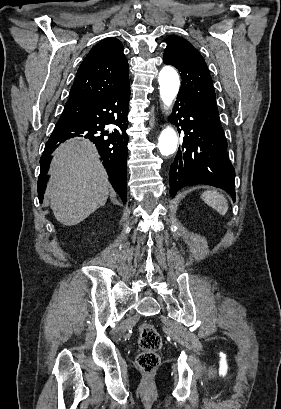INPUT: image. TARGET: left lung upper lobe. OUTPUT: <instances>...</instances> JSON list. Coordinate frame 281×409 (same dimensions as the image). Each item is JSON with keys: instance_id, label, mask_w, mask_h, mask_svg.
Returning a JSON list of instances; mask_svg holds the SVG:
<instances>
[{"instance_id": "left-lung-upper-lobe-1", "label": "left lung upper lobe", "mask_w": 281, "mask_h": 409, "mask_svg": "<svg viewBox=\"0 0 281 409\" xmlns=\"http://www.w3.org/2000/svg\"><path fill=\"white\" fill-rule=\"evenodd\" d=\"M166 42L163 61L181 72L182 84L179 94L188 95L218 112L212 79L201 54L181 37L170 36Z\"/></svg>"}]
</instances>
